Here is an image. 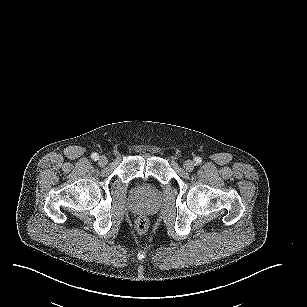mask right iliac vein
<instances>
[{
    "label": "right iliac vein",
    "mask_w": 307,
    "mask_h": 307,
    "mask_svg": "<svg viewBox=\"0 0 307 307\" xmlns=\"http://www.w3.org/2000/svg\"><path fill=\"white\" fill-rule=\"evenodd\" d=\"M108 163V159L106 156L102 155L100 158H99V161H98V164L103 167L105 166L106 164Z\"/></svg>",
    "instance_id": "1"
}]
</instances>
